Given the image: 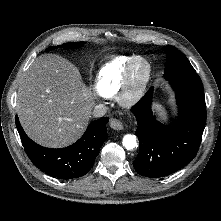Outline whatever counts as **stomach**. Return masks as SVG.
I'll return each mask as SVG.
<instances>
[{
	"mask_svg": "<svg viewBox=\"0 0 221 221\" xmlns=\"http://www.w3.org/2000/svg\"><path fill=\"white\" fill-rule=\"evenodd\" d=\"M156 109L162 117H166V112L160 104H156Z\"/></svg>",
	"mask_w": 221,
	"mask_h": 221,
	"instance_id": "stomach-1",
	"label": "stomach"
}]
</instances>
